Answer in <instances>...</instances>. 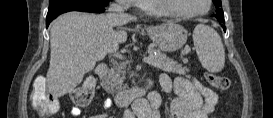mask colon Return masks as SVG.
Instances as JSON below:
<instances>
[{"instance_id":"obj_1","label":"colon","mask_w":273,"mask_h":118,"mask_svg":"<svg viewBox=\"0 0 273 118\" xmlns=\"http://www.w3.org/2000/svg\"><path fill=\"white\" fill-rule=\"evenodd\" d=\"M205 77L208 83L216 89L228 90L230 88V80L227 77L211 73H207ZM96 84L97 81L94 77L86 78L72 91L71 100L73 104L78 107L88 105L92 99ZM32 105L35 111L46 116L55 114L59 110L58 100L47 91L45 80L42 78H37L34 82Z\"/></svg>"}]
</instances>
